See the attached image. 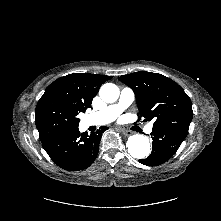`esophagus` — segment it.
<instances>
[{
    "label": "esophagus",
    "mask_w": 221,
    "mask_h": 221,
    "mask_svg": "<svg viewBox=\"0 0 221 221\" xmlns=\"http://www.w3.org/2000/svg\"><path fill=\"white\" fill-rule=\"evenodd\" d=\"M120 131H121L125 136H130V135H132V132L129 131V130L121 129Z\"/></svg>",
    "instance_id": "esophagus-1"
}]
</instances>
